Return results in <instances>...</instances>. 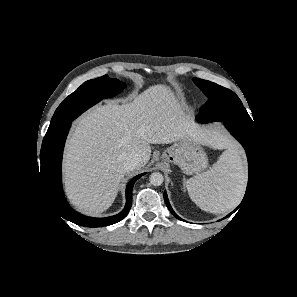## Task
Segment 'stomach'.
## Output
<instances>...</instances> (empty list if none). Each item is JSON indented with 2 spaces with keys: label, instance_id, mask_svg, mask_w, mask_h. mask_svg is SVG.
I'll return each mask as SVG.
<instances>
[{
  "label": "stomach",
  "instance_id": "0dacf381",
  "mask_svg": "<svg viewBox=\"0 0 297 297\" xmlns=\"http://www.w3.org/2000/svg\"><path fill=\"white\" fill-rule=\"evenodd\" d=\"M162 158L169 163L177 164L188 174H198L208 166V157L202 146L192 140H181L167 148Z\"/></svg>",
  "mask_w": 297,
  "mask_h": 297
}]
</instances>
